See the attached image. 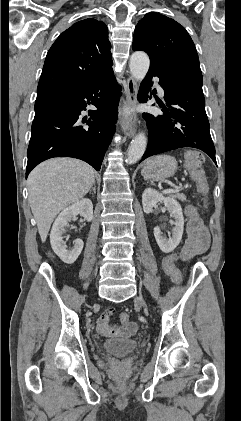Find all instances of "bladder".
<instances>
[{"label":"bladder","instance_id":"31cf9c89","mask_svg":"<svg viewBox=\"0 0 241 421\" xmlns=\"http://www.w3.org/2000/svg\"><path fill=\"white\" fill-rule=\"evenodd\" d=\"M139 348L137 341L133 339H112L103 343L104 352L114 356H126L135 352Z\"/></svg>","mask_w":241,"mask_h":421}]
</instances>
